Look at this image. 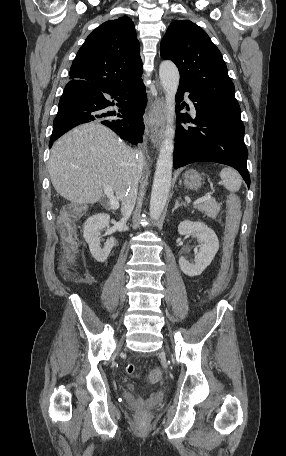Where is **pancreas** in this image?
<instances>
[{
	"mask_svg": "<svg viewBox=\"0 0 286 456\" xmlns=\"http://www.w3.org/2000/svg\"><path fill=\"white\" fill-rule=\"evenodd\" d=\"M220 208L221 204L217 203L215 199H209L196 206V209L203 212L210 218H216L217 214L220 211Z\"/></svg>",
	"mask_w": 286,
	"mask_h": 456,
	"instance_id": "cf45deb5",
	"label": "pancreas"
}]
</instances>
